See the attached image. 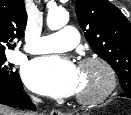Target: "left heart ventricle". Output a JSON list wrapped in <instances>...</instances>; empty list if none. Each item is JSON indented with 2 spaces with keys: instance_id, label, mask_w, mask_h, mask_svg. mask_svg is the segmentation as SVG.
Masks as SVG:
<instances>
[{
  "instance_id": "left-heart-ventricle-1",
  "label": "left heart ventricle",
  "mask_w": 131,
  "mask_h": 115,
  "mask_svg": "<svg viewBox=\"0 0 131 115\" xmlns=\"http://www.w3.org/2000/svg\"><path fill=\"white\" fill-rule=\"evenodd\" d=\"M79 84L77 95H92L100 91L106 84V74L101 67L89 64L79 68Z\"/></svg>"
}]
</instances>
